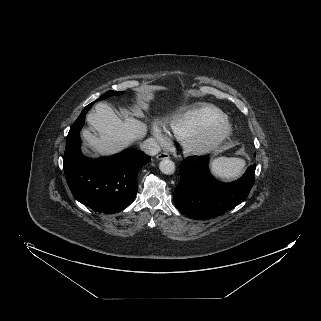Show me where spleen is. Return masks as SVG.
I'll use <instances>...</instances> for the list:
<instances>
[{
    "label": "spleen",
    "mask_w": 321,
    "mask_h": 321,
    "mask_svg": "<svg viewBox=\"0 0 321 321\" xmlns=\"http://www.w3.org/2000/svg\"><path fill=\"white\" fill-rule=\"evenodd\" d=\"M245 164V160L240 158L218 157L212 160L210 168L217 178L232 180L240 176Z\"/></svg>",
    "instance_id": "1"
}]
</instances>
